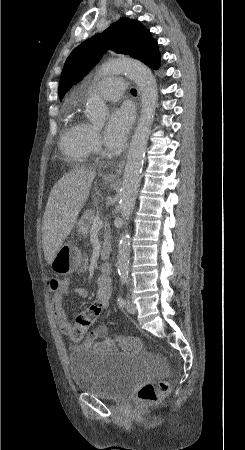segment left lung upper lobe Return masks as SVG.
I'll list each match as a JSON object with an SVG mask.
<instances>
[{
	"instance_id": "obj_1",
	"label": "left lung upper lobe",
	"mask_w": 245,
	"mask_h": 450,
	"mask_svg": "<svg viewBox=\"0 0 245 450\" xmlns=\"http://www.w3.org/2000/svg\"><path fill=\"white\" fill-rule=\"evenodd\" d=\"M107 49L136 58L152 68L160 60L157 42L149 30L137 20L121 18L101 36L83 42L72 51L61 74L60 98L99 62Z\"/></svg>"
}]
</instances>
